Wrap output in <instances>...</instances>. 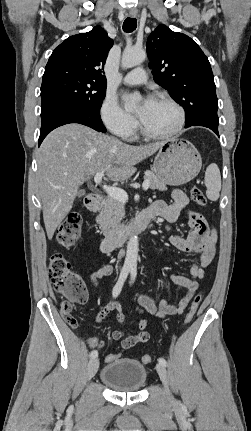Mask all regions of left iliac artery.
Returning <instances> with one entry per match:
<instances>
[{
  "instance_id": "44dca946",
  "label": "left iliac artery",
  "mask_w": 251,
  "mask_h": 431,
  "mask_svg": "<svg viewBox=\"0 0 251 431\" xmlns=\"http://www.w3.org/2000/svg\"><path fill=\"white\" fill-rule=\"evenodd\" d=\"M130 271H131V281H130V283L132 284L134 282V280H135L136 273H137L136 267L135 266L131 267ZM158 362L160 364L164 365V366H167V362H166V360L163 357H160L158 359Z\"/></svg>"
}]
</instances>
